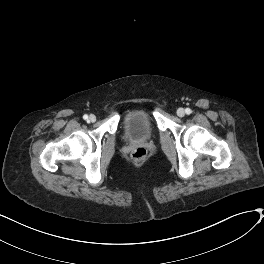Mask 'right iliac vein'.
Segmentation results:
<instances>
[{"label": "right iliac vein", "mask_w": 264, "mask_h": 264, "mask_svg": "<svg viewBox=\"0 0 264 264\" xmlns=\"http://www.w3.org/2000/svg\"><path fill=\"white\" fill-rule=\"evenodd\" d=\"M89 121H90V122H95V121H96V117H95V115H90V116H89Z\"/></svg>", "instance_id": "right-iliac-vein-1"}]
</instances>
